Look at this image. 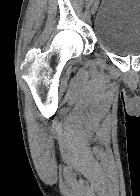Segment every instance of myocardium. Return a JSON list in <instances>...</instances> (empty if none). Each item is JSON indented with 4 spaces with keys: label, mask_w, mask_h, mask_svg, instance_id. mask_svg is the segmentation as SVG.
I'll return each instance as SVG.
<instances>
[{
    "label": "myocardium",
    "mask_w": 140,
    "mask_h": 196,
    "mask_svg": "<svg viewBox=\"0 0 140 196\" xmlns=\"http://www.w3.org/2000/svg\"><path fill=\"white\" fill-rule=\"evenodd\" d=\"M89 192H107V191H89ZM121 192H125V191H121Z\"/></svg>",
    "instance_id": "1"
}]
</instances>
